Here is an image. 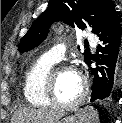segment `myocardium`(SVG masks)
I'll use <instances>...</instances> for the list:
<instances>
[{
	"label": "myocardium",
	"mask_w": 122,
	"mask_h": 123,
	"mask_svg": "<svg viewBox=\"0 0 122 123\" xmlns=\"http://www.w3.org/2000/svg\"><path fill=\"white\" fill-rule=\"evenodd\" d=\"M73 69L70 65H58L52 67L48 73L47 80H46V87L45 93L47 99L50 101L52 105L59 106V107H73L79 104L86 96L88 90V83L87 80L82 77V88L80 93L70 101H61L56 96L55 86H56V76L59 71Z\"/></svg>",
	"instance_id": "obj_1"
}]
</instances>
